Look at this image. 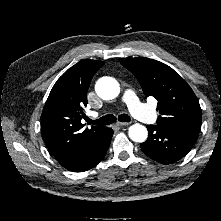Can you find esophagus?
<instances>
[{
  "label": "esophagus",
  "mask_w": 221,
  "mask_h": 221,
  "mask_svg": "<svg viewBox=\"0 0 221 221\" xmlns=\"http://www.w3.org/2000/svg\"><path fill=\"white\" fill-rule=\"evenodd\" d=\"M130 123L128 122H118L116 125L119 126V127H125V126H128Z\"/></svg>",
  "instance_id": "esophagus-1"
}]
</instances>
